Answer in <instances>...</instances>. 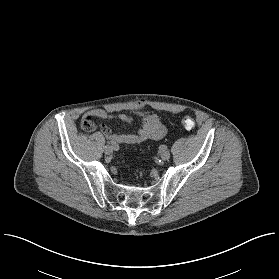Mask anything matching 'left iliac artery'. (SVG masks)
<instances>
[{
    "instance_id": "obj_1",
    "label": "left iliac artery",
    "mask_w": 279,
    "mask_h": 279,
    "mask_svg": "<svg viewBox=\"0 0 279 279\" xmlns=\"http://www.w3.org/2000/svg\"><path fill=\"white\" fill-rule=\"evenodd\" d=\"M167 148H168V147H167L166 145H161V146H160V149H161V150H166Z\"/></svg>"
}]
</instances>
